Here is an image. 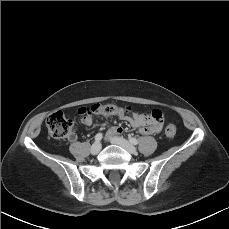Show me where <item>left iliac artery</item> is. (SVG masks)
I'll list each match as a JSON object with an SVG mask.
<instances>
[{
  "label": "left iliac artery",
  "mask_w": 229,
  "mask_h": 229,
  "mask_svg": "<svg viewBox=\"0 0 229 229\" xmlns=\"http://www.w3.org/2000/svg\"><path fill=\"white\" fill-rule=\"evenodd\" d=\"M129 141L131 142V144L133 145H137L139 143V141L136 138H129Z\"/></svg>",
  "instance_id": "left-iliac-artery-1"
}]
</instances>
